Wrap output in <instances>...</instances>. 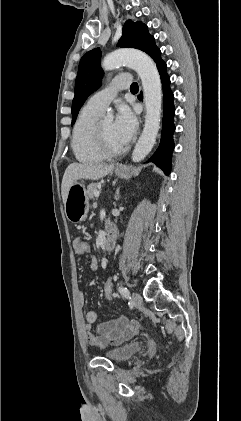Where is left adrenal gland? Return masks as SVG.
Here are the masks:
<instances>
[{"label": "left adrenal gland", "instance_id": "left-adrenal-gland-1", "mask_svg": "<svg viewBox=\"0 0 241 421\" xmlns=\"http://www.w3.org/2000/svg\"><path fill=\"white\" fill-rule=\"evenodd\" d=\"M119 198H120V195H119V189H118L116 192V200H119Z\"/></svg>", "mask_w": 241, "mask_h": 421}]
</instances>
